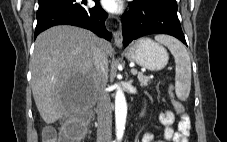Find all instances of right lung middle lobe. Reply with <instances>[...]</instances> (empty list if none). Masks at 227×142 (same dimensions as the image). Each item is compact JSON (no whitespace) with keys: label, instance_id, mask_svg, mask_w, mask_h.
<instances>
[{"label":"right lung middle lobe","instance_id":"dd1d6c3e","mask_svg":"<svg viewBox=\"0 0 227 142\" xmlns=\"http://www.w3.org/2000/svg\"><path fill=\"white\" fill-rule=\"evenodd\" d=\"M56 0H39V6L54 2Z\"/></svg>","mask_w":227,"mask_h":142}]
</instances>
